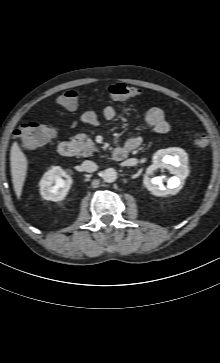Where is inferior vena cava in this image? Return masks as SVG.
<instances>
[{
	"instance_id": "602c4592",
	"label": "inferior vena cava",
	"mask_w": 220,
	"mask_h": 363,
	"mask_svg": "<svg viewBox=\"0 0 220 363\" xmlns=\"http://www.w3.org/2000/svg\"><path fill=\"white\" fill-rule=\"evenodd\" d=\"M81 166H82L83 171L89 172V173L94 172L98 169L97 164L90 160H85Z\"/></svg>"
}]
</instances>
